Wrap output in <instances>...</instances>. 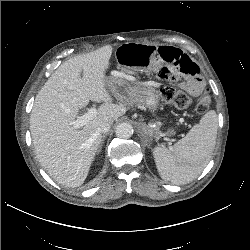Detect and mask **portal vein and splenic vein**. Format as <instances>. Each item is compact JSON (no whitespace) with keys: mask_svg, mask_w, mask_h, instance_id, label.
I'll return each mask as SVG.
<instances>
[{"mask_svg":"<svg viewBox=\"0 0 250 250\" xmlns=\"http://www.w3.org/2000/svg\"><path fill=\"white\" fill-rule=\"evenodd\" d=\"M97 114V110L94 107H91L87 110V113L78 117L75 121H73L72 125L75 129H79L86 125L93 117Z\"/></svg>","mask_w":250,"mask_h":250,"instance_id":"portal-vein-and-splenic-vein-1","label":"portal vein and splenic vein"}]
</instances>
